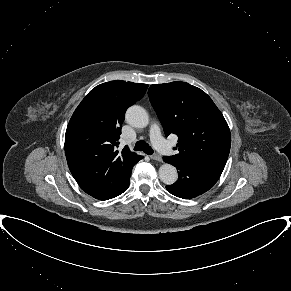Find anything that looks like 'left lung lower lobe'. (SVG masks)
I'll use <instances>...</instances> for the list:
<instances>
[{"mask_svg":"<svg viewBox=\"0 0 291 291\" xmlns=\"http://www.w3.org/2000/svg\"><path fill=\"white\" fill-rule=\"evenodd\" d=\"M164 162L178 170V180L166 186L171 194L191 199L208 191L218 181L224 166L202 162L180 160L174 156L163 157Z\"/></svg>","mask_w":291,"mask_h":291,"instance_id":"0a47b994","label":"left lung lower lobe"}]
</instances>
